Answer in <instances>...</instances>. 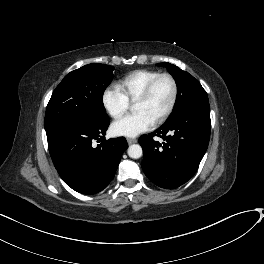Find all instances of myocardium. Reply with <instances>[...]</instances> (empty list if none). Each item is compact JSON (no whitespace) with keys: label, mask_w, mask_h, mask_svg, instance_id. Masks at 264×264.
<instances>
[{"label":"myocardium","mask_w":264,"mask_h":264,"mask_svg":"<svg viewBox=\"0 0 264 264\" xmlns=\"http://www.w3.org/2000/svg\"><path fill=\"white\" fill-rule=\"evenodd\" d=\"M162 78H168L170 80L172 84V97H171V100H170V103L167 109L163 112V114L157 120L154 121L155 125L162 124L164 121H166L176 106V102L178 98V84L174 76L171 75L170 73L158 74L157 76H155L153 79L149 81V83L146 85V87L143 89V91L140 93V95L135 100V103L147 100L150 97L156 83Z\"/></svg>","instance_id":"myocardium-1"}]
</instances>
